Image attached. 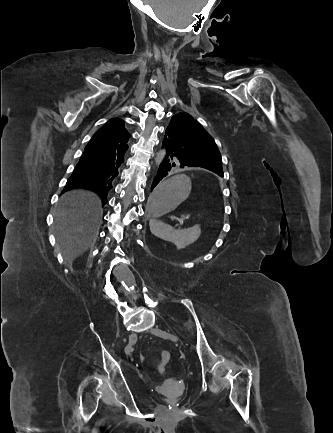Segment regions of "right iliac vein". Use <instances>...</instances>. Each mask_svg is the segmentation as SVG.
<instances>
[{"mask_svg": "<svg viewBox=\"0 0 333 433\" xmlns=\"http://www.w3.org/2000/svg\"><path fill=\"white\" fill-rule=\"evenodd\" d=\"M137 340V335L135 333H131L129 335V342L128 345L126 346V349L128 350L126 352V354L130 355L132 352V346L136 343Z\"/></svg>", "mask_w": 333, "mask_h": 433, "instance_id": "obj_1", "label": "right iliac vein"}]
</instances>
